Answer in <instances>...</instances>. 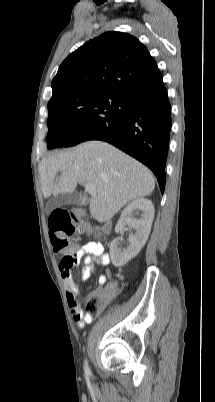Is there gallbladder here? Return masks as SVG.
Returning <instances> with one entry per match:
<instances>
[{"instance_id":"bac80fb5","label":"gallbladder","mask_w":215,"mask_h":402,"mask_svg":"<svg viewBox=\"0 0 215 402\" xmlns=\"http://www.w3.org/2000/svg\"><path fill=\"white\" fill-rule=\"evenodd\" d=\"M84 201L83 196L77 192L56 195L48 202L46 211L50 213L56 208L64 205H81L84 203Z\"/></svg>"}]
</instances>
